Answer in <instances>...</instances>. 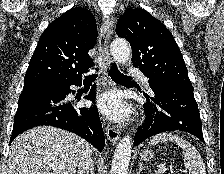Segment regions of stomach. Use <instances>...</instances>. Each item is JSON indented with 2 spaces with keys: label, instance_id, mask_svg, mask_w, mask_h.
Here are the masks:
<instances>
[{
  "label": "stomach",
  "instance_id": "1",
  "mask_svg": "<svg viewBox=\"0 0 224 174\" xmlns=\"http://www.w3.org/2000/svg\"><path fill=\"white\" fill-rule=\"evenodd\" d=\"M140 157L142 160H149L153 157V151L150 149H144L141 153H140Z\"/></svg>",
  "mask_w": 224,
  "mask_h": 174
}]
</instances>
